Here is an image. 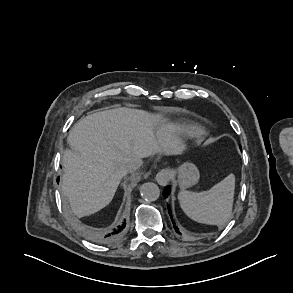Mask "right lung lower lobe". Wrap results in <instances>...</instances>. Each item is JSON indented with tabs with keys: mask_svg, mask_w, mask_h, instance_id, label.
<instances>
[{
	"mask_svg": "<svg viewBox=\"0 0 293 293\" xmlns=\"http://www.w3.org/2000/svg\"><path fill=\"white\" fill-rule=\"evenodd\" d=\"M125 227H126V222H122V224L118 225L110 233L104 236H100V240L104 243H110V242H114L118 240L124 233Z\"/></svg>",
	"mask_w": 293,
	"mask_h": 293,
	"instance_id": "1",
	"label": "right lung lower lobe"
}]
</instances>
